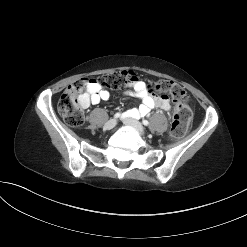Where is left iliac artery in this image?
<instances>
[{"mask_svg": "<svg viewBox=\"0 0 247 247\" xmlns=\"http://www.w3.org/2000/svg\"><path fill=\"white\" fill-rule=\"evenodd\" d=\"M142 123H143V125H145V126H148V125H149L148 120H143Z\"/></svg>", "mask_w": 247, "mask_h": 247, "instance_id": "left-iliac-artery-1", "label": "left iliac artery"}]
</instances>
